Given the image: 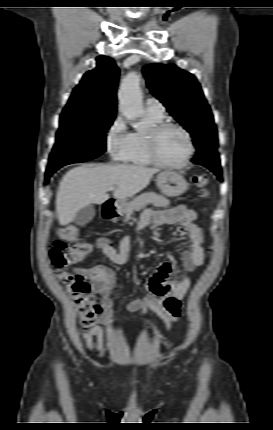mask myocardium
<instances>
[{
	"label": "myocardium",
	"instance_id": "f54148a6",
	"mask_svg": "<svg viewBox=\"0 0 273 430\" xmlns=\"http://www.w3.org/2000/svg\"><path fill=\"white\" fill-rule=\"evenodd\" d=\"M174 128L181 131L187 140V153L185 157L178 163H168L163 161L158 153V140L160 135L167 129ZM147 144L150 159L153 164L170 169H180L186 166L194 154V144L190 132L182 125L169 121H162L151 127L147 133Z\"/></svg>",
	"mask_w": 273,
	"mask_h": 430
}]
</instances>
